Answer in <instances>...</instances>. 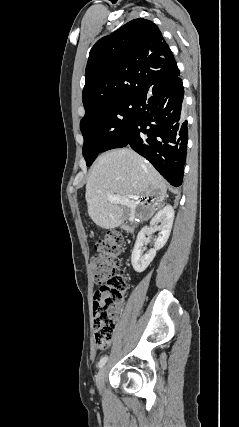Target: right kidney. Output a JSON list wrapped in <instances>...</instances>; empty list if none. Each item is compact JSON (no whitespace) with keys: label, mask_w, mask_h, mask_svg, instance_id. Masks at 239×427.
<instances>
[{"label":"right kidney","mask_w":239,"mask_h":427,"mask_svg":"<svg viewBox=\"0 0 239 427\" xmlns=\"http://www.w3.org/2000/svg\"><path fill=\"white\" fill-rule=\"evenodd\" d=\"M173 220L174 209L170 205H167L162 208L151 219L150 226H154L157 223H161V225L158 227L160 232L158 238L155 240L154 248L147 251L144 255L143 251L146 249V247L144 246L146 244L145 233L148 227H143L142 230L138 233L131 255V263L136 272H143L153 261L154 257L156 256V252L163 248V246L166 244L172 229Z\"/></svg>","instance_id":"ca27d5eb"}]
</instances>
